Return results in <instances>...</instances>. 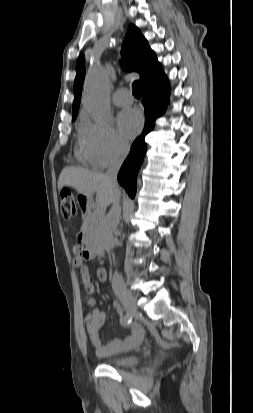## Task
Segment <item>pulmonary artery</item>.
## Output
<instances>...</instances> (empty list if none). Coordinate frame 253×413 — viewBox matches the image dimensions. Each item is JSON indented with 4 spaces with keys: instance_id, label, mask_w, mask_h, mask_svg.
Returning <instances> with one entry per match:
<instances>
[{
    "instance_id": "1",
    "label": "pulmonary artery",
    "mask_w": 253,
    "mask_h": 413,
    "mask_svg": "<svg viewBox=\"0 0 253 413\" xmlns=\"http://www.w3.org/2000/svg\"><path fill=\"white\" fill-rule=\"evenodd\" d=\"M112 99L117 106H128L133 102L132 95L124 88L117 90Z\"/></svg>"
}]
</instances>
